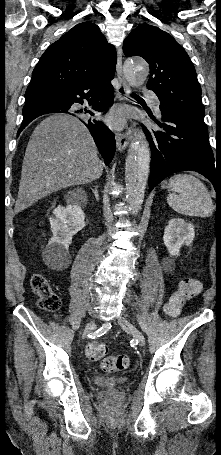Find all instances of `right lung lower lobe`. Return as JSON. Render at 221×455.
Masks as SVG:
<instances>
[{
  "label": "right lung lower lobe",
  "mask_w": 221,
  "mask_h": 455,
  "mask_svg": "<svg viewBox=\"0 0 221 455\" xmlns=\"http://www.w3.org/2000/svg\"><path fill=\"white\" fill-rule=\"evenodd\" d=\"M112 78L106 77L104 74L91 76L79 81H76L53 96L36 99L27 102L23 107V121L18 134L35 118L48 113H67L73 116H80L81 113H89L91 111L76 110L73 104L88 103L94 110L102 112L113 102V86L110 83ZM89 129L94 141L108 165L115 153V138L108 127L101 121L96 120H81Z\"/></svg>",
  "instance_id": "1"
}]
</instances>
